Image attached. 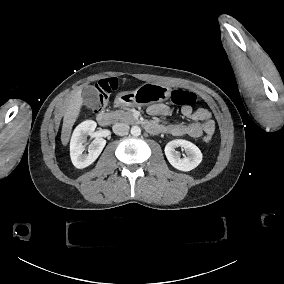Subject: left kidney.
<instances>
[{
  "instance_id": "1",
  "label": "left kidney",
  "mask_w": 284,
  "mask_h": 284,
  "mask_svg": "<svg viewBox=\"0 0 284 284\" xmlns=\"http://www.w3.org/2000/svg\"><path fill=\"white\" fill-rule=\"evenodd\" d=\"M177 147H182L187 156L180 158L179 152L175 150ZM165 155L170 164L181 171H190L196 168L202 161L200 149L193 143L182 139L172 140L167 143Z\"/></svg>"
}]
</instances>
